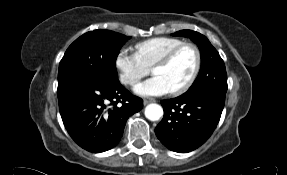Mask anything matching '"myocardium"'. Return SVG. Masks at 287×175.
I'll use <instances>...</instances> for the list:
<instances>
[{
    "label": "myocardium",
    "instance_id": "f54148a6",
    "mask_svg": "<svg viewBox=\"0 0 287 175\" xmlns=\"http://www.w3.org/2000/svg\"><path fill=\"white\" fill-rule=\"evenodd\" d=\"M186 47L192 48L194 50L195 55H196V64H195V68H194L191 76L189 77V79L181 87L170 91V94H172L174 96H178V95H181V94L187 92L196 82V80L200 74L201 67H202V54H201L199 47L192 42H183L180 45L169 50L162 57H160L153 64L152 69H151V71L153 73L155 68L168 64L182 49H184Z\"/></svg>",
    "mask_w": 287,
    "mask_h": 175
}]
</instances>
